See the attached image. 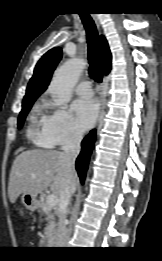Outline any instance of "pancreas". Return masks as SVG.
I'll use <instances>...</instances> for the list:
<instances>
[{"label": "pancreas", "instance_id": "obj_1", "mask_svg": "<svg viewBox=\"0 0 162 261\" xmlns=\"http://www.w3.org/2000/svg\"><path fill=\"white\" fill-rule=\"evenodd\" d=\"M41 208L43 213L46 215L47 225L44 230V237L42 242H49L53 240L58 234L57 220L55 213H53L52 208H50L46 201L42 202Z\"/></svg>", "mask_w": 162, "mask_h": 261}]
</instances>
